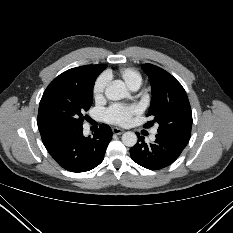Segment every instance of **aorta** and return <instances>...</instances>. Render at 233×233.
<instances>
[{
	"mask_svg": "<svg viewBox=\"0 0 233 233\" xmlns=\"http://www.w3.org/2000/svg\"><path fill=\"white\" fill-rule=\"evenodd\" d=\"M105 96L112 101H118L129 97L128 90L122 81H113L105 90ZM122 142L128 147H133L137 143V136L134 132H125L122 135Z\"/></svg>",
	"mask_w": 233,
	"mask_h": 233,
	"instance_id": "obj_1",
	"label": "aorta"
}]
</instances>
